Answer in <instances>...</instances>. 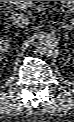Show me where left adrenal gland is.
Returning <instances> with one entry per match:
<instances>
[{"label": "left adrenal gland", "instance_id": "1", "mask_svg": "<svg viewBox=\"0 0 74 122\" xmlns=\"http://www.w3.org/2000/svg\"><path fill=\"white\" fill-rule=\"evenodd\" d=\"M62 28H64V29L66 30V29H68V28H69V25H68V24L63 23V24H62Z\"/></svg>", "mask_w": 74, "mask_h": 122}]
</instances>
